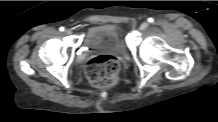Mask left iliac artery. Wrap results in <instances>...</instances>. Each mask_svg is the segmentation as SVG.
Wrapping results in <instances>:
<instances>
[{"label":"left iliac artery","instance_id":"44dca946","mask_svg":"<svg viewBox=\"0 0 218 122\" xmlns=\"http://www.w3.org/2000/svg\"><path fill=\"white\" fill-rule=\"evenodd\" d=\"M148 22L153 23L154 19L153 18H148Z\"/></svg>","mask_w":218,"mask_h":122}]
</instances>
